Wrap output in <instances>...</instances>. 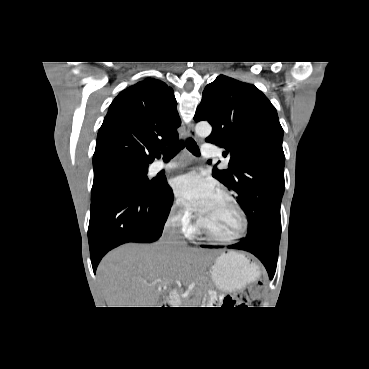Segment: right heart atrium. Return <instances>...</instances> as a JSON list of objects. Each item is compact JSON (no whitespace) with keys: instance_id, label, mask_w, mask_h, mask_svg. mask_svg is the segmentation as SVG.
Here are the masks:
<instances>
[{"instance_id":"right-heart-atrium-1","label":"right heart atrium","mask_w":369,"mask_h":369,"mask_svg":"<svg viewBox=\"0 0 369 369\" xmlns=\"http://www.w3.org/2000/svg\"><path fill=\"white\" fill-rule=\"evenodd\" d=\"M171 217L185 231L193 230V227L191 225L192 215L179 199L174 200V202L172 203Z\"/></svg>"}]
</instances>
